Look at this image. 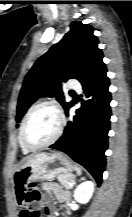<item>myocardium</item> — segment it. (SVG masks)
Wrapping results in <instances>:
<instances>
[{
    "label": "myocardium",
    "instance_id": "myocardium-1",
    "mask_svg": "<svg viewBox=\"0 0 132 217\" xmlns=\"http://www.w3.org/2000/svg\"><path fill=\"white\" fill-rule=\"evenodd\" d=\"M44 106H49L56 111L58 118H59L58 128H57L55 135L49 141H47L43 144H40V145H31L26 141V138H25L26 127H27L29 120L33 116V114L39 108L44 107ZM64 125H65V118H64V114H63L60 106L53 100L41 101V102L35 104L29 110L26 117L24 118L21 129H20V142H21L22 146L29 151H35V150H40V149L46 148V147L54 144L61 137L63 130H64Z\"/></svg>",
    "mask_w": 132,
    "mask_h": 217
}]
</instances>
